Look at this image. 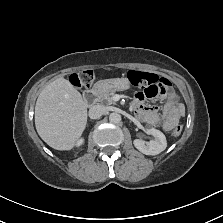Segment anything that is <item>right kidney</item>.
<instances>
[{
	"instance_id": "1",
	"label": "right kidney",
	"mask_w": 223,
	"mask_h": 223,
	"mask_svg": "<svg viewBox=\"0 0 223 223\" xmlns=\"http://www.w3.org/2000/svg\"><path fill=\"white\" fill-rule=\"evenodd\" d=\"M84 142H85V138L82 136V137L78 138L77 141L74 143V147L80 148L84 145Z\"/></svg>"
}]
</instances>
